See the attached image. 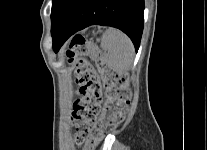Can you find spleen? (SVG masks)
<instances>
[{"label":"spleen","instance_id":"3e777b00","mask_svg":"<svg viewBox=\"0 0 207 150\" xmlns=\"http://www.w3.org/2000/svg\"><path fill=\"white\" fill-rule=\"evenodd\" d=\"M101 47L104 50L103 60L113 71L124 73L132 67L134 46L120 30L107 29L101 38Z\"/></svg>","mask_w":207,"mask_h":150}]
</instances>
